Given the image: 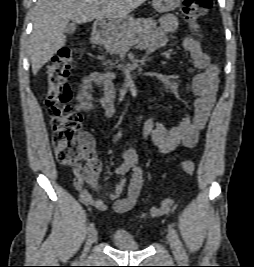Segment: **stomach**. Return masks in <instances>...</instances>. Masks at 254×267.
Wrapping results in <instances>:
<instances>
[{
	"mask_svg": "<svg viewBox=\"0 0 254 267\" xmlns=\"http://www.w3.org/2000/svg\"><path fill=\"white\" fill-rule=\"evenodd\" d=\"M182 0H153L152 5L154 9L160 13L171 12L180 6ZM133 21V18L126 16L120 19L110 20L104 25V32L106 35L116 33L124 29Z\"/></svg>",
	"mask_w": 254,
	"mask_h": 267,
	"instance_id": "obj_1",
	"label": "stomach"
}]
</instances>
